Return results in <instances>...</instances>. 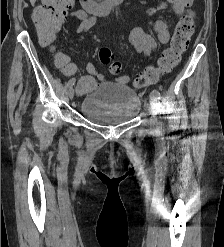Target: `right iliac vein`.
I'll return each instance as SVG.
<instances>
[{"instance_id": "right-iliac-vein-1", "label": "right iliac vein", "mask_w": 224, "mask_h": 247, "mask_svg": "<svg viewBox=\"0 0 224 247\" xmlns=\"http://www.w3.org/2000/svg\"><path fill=\"white\" fill-rule=\"evenodd\" d=\"M74 89H73V87H70L69 88V90H68V97L70 98V99H72L73 97H74Z\"/></svg>"}]
</instances>
